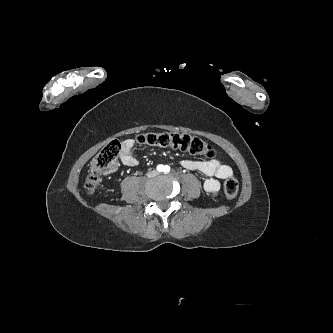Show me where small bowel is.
<instances>
[{
    "instance_id": "small-bowel-1",
    "label": "small bowel",
    "mask_w": 333,
    "mask_h": 333,
    "mask_svg": "<svg viewBox=\"0 0 333 333\" xmlns=\"http://www.w3.org/2000/svg\"><path fill=\"white\" fill-rule=\"evenodd\" d=\"M133 147V139H125L121 142L120 159L122 164L127 167H135L138 165V160L133 153ZM180 163L184 168L198 171L208 177L203 182V189L212 197H215L220 189L219 180L233 176L232 168L215 158L209 160L186 158L182 159Z\"/></svg>"
}]
</instances>
